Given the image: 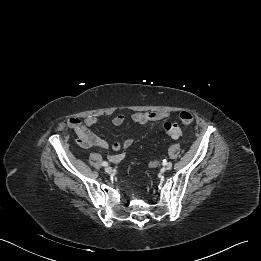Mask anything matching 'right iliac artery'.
Wrapping results in <instances>:
<instances>
[{
  "mask_svg": "<svg viewBox=\"0 0 261 261\" xmlns=\"http://www.w3.org/2000/svg\"><path fill=\"white\" fill-rule=\"evenodd\" d=\"M102 166H108V162L103 161V162H102Z\"/></svg>",
  "mask_w": 261,
  "mask_h": 261,
  "instance_id": "obj_1",
  "label": "right iliac artery"
}]
</instances>
